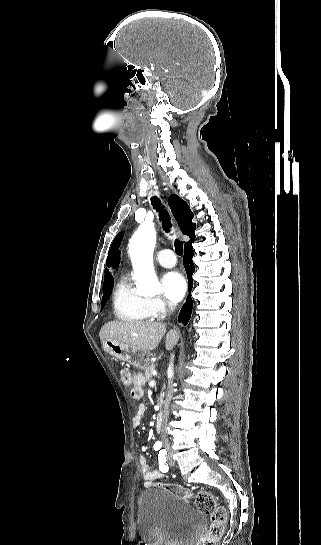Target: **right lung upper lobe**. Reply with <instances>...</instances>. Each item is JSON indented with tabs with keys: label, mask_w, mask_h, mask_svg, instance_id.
<instances>
[{
	"label": "right lung upper lobe",
	"mask_w": 321,
	"mask_h": 545,
	"mask_svg": "<svg viewBox=\"0 0 321 545\" xmlns=\"http://www.w3.org/2000/svg\"><path fill=\"white\" fill-rule=\"evenodd\" d=\"M168 204L182 233L188 235L189 237L192 236L194 234L196 224L192 222L193 213L190 210L188 204L175 194L170 195L168 199ZM122 236H123V233L122 232L119 233L111 245L108 258L106 261V264L108 267L112 263L116 250L121 243ZM113 284H114L113 277L110 274V272H108V270L106 269L103 289L109 288L113 286Z\"/></svg>",
	"instance_id": "1"
}]
</instances>
